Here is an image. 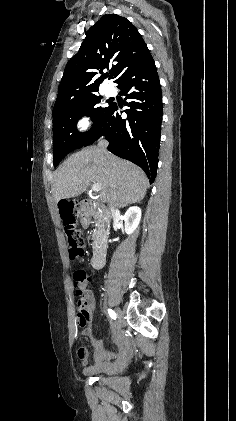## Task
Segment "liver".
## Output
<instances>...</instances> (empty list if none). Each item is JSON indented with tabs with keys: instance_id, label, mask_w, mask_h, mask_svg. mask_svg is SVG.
Here are the masks:
<instances>
[{
	"instance_id": "liver-1",
	"label": "liver",
	"mask_w": 236,
	"mask_h": 421,
	"mask_svg": "<svg viewBox=\"0 0 236 421\" xmlns=\"http://www.w3.org/2000/svg\"><path fill=\"white\" fill-rule=\"evenodd\" d=\"M90 182L101 184L100 200L112 206L139 202L146 194L149 180L142 168L114 154L105 156L97 146L71 154L53 172V194L56 202L86 190Z\"/></svg>"
}]
</instances>
